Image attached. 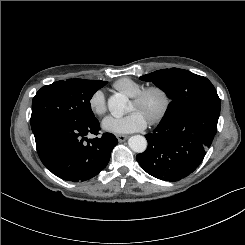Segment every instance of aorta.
I'll return each instance as SVG.
<instances>
[{
    "instance_id": "aorta-1",
    "label": "aorta",
    "mask_w": 245,
    "mask_h": 245,
    "mask_svg": "<svg viewBox=\"0 0 245 245\" xmlns=\"http://www.w3.org/2000/svg\"><path fill=\"white\" fill-rule=\"evenodd\" d=\"M127 105L128 99L122 94L112 95L108 99V108L111 114L116 118L121 117L125 113ZM128 145L134 152L142 153L147 148V140L144 136L134 135L129 138Z\"/></svg>"
}]
</instances>
